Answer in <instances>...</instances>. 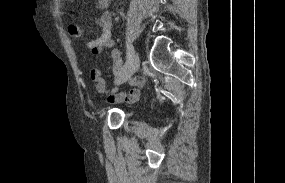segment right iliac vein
Returning a JSON list of instances; mask_svg holds the SVG:
<instances>
[{
  "mask_svg": "<svg viewBox=\"0 0 285 183\" xmlns=\"http://www.w3.org/2000/svg\"><path fill=\"white\" fill-rule=\"evenodd\" d=\"M138 68H139V57L138 55H134L131 63L129 64L123 76L119 80H117V84H121L127 81L138 70Z\"/></svg>",
  "mask_w": 285,
  "mask_h": 183,
  "instance_id": "1",
  "label": "right iliac vein"
}]
</instances>
